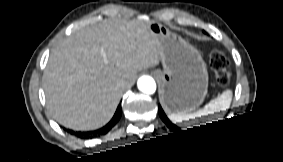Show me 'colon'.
I'll return each instance as SVG.
<instances>
[{
	"instance_id": "5ec220e1",
	"label": "colon",
	"mask_w": 283,
	"mask_h": 162,
	"mask_svg": "<svg viewBox=\"0 0 283 162\" xmlns=\"http://www.w3.org/2000/svg\"><path fill=\"white\" fill-rule=\"evenodd\" d=\"M212 64L217 69V79L220 83H226L229 79V71L227 70V61L224 55L220 52L214 53Z\"/></svg>"
}]
</instances>
